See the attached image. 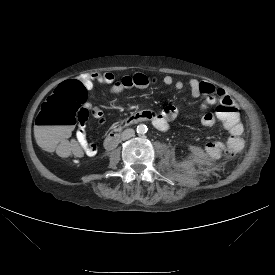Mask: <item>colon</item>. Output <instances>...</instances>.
Listing matches in <instances>:
<instances>
[{"instance_id": "obj_1", "label": "colon", "mask_w": 275, "mask_h": 275, "mask_svg": "<svg viewBox=\"0 0 275 275\" xmlns=\"http://www.w3.org/2000/svg\"><path fill=\"white\" fill-rule=\"evenodd\" d=\"M150 83L149 76L145 74L128 75L122 82L113 83L111 90L120 96L126 89L132 90L136 86L145 89ZM87 95V88L79 80H69L55 88L36 118V138L43 149L56 150L61 155L73 152L81 154L78 144L69 141L67 135L76 124L88 120L90 110L85 105ZM216 115L224 129L233 130L240 125L241 117L237 107L229 101L217 107Z\"/></svg>"}]
</instances>
